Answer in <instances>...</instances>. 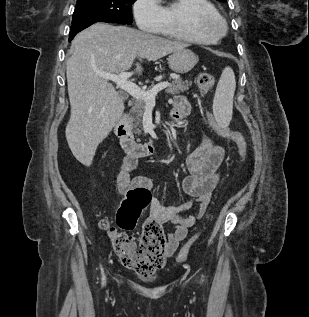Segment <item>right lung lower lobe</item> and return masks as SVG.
Segmentation results:
<instances>
[{
	"label": "right lung lower lobe",
	"mask_w": 309,
	"mask_h": 317,
	"mask_svg": "<svg viewBox=\"0 0 309 317\" xmlns=\"http://www.w3.org/2000/svg\"><path fill=\"white\" fill-rule=\"evenodd\" d=\"M96 22H107L102 20H84L77 22L75 24H72L70 34H69V42L75 37V35L82 31L83 29L89 27L90 25L96 23Z\"/></svg>",
	"instance_id": "obj_1"
}]
</instances>
